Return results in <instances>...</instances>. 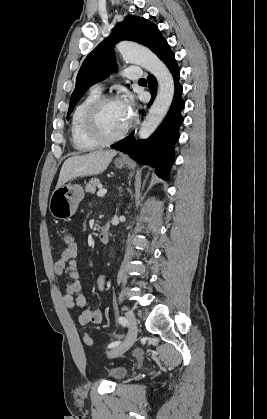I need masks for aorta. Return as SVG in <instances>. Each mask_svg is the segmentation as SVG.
<instances>
[{"label": "aorta", "instance_id": "762f6f07", "mask_svg": "<svg viewBox=\"0 0 267 419\" xmlns=\"http://www.w3.org/2000/svg\"><path fill=\"white\" fill-rule=\"evenodd\" d=\"M117 50L125 61L145 68L158 82L157 96L138 132L139 138L146 139L156 130L170 108L175 92L173 76L167 66L147 48L121 42Z\"/></svg>", "mask_w": 267, "mask_h": 419}]
</instances>
